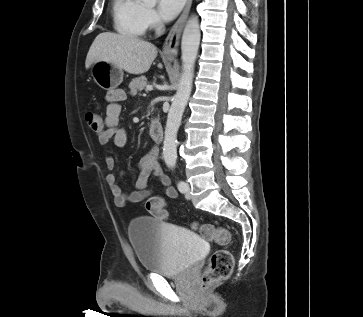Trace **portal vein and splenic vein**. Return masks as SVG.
I'll return each mask as SVG.
<instances>
[{"instance_id": "portal-vein-and-splenic-vein-1", "label": "portal vein and splenic vein", "mask_w": 363, "mask_h": 317, "mask_svg": "<svg viewBox=\"0 0 363 317\" xmlns=\"http://www.w3.org/2000/svg\"><path fill=\"white\" fill-rule=\"evenodd\" d=\"M151 90H153V87L151 85L146 86V91H151Z\"/></svg>"}]
</instances>
